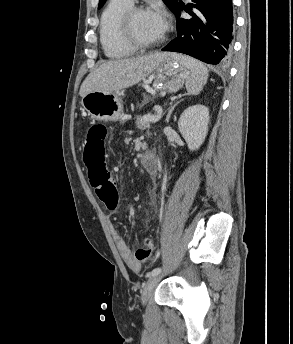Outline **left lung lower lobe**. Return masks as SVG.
<instances>
[{"mask_svg":"<svg viewBox=\"0 0 293 344\" xmlns=\"http://www.w3.org/2000/svg\"><path fill=\"white\" fill-rule=\"evenodd\" d=\"M182 10L192 18H182ZM172 12L177 18V37L162 51L184 53L209 64L228 62L233 41L232 0H192L188 7L177 2Z\"/></svg>","mask_w":293,"mask_h":344,"instance_id":"obj_1","label":"left lung lower lobe"}]
</instances>
